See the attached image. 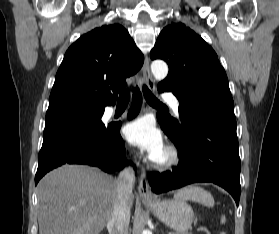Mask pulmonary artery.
<instances>
[{
  "label": "pulmonary artery",
  "instance_id": "obj_1",
  "mask_svg": "<svg viewBox=\"0 0 279 234\" xmlns=\"http://www.w3.org/2000/svg\"><path fill=\"white\" fill-rule=\"evenodd\" d=\"M163 97L169 103L172 110L175 111L176 113H178V110L180 107V103H179L178 99L172 94H164ZM112 111H113L112 108H110L108 110L109 113H111Z\"/></svg>",
  "mask_w": 279,
  "mask_h": 234
}]
</instances>
